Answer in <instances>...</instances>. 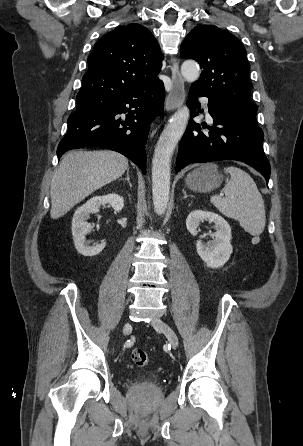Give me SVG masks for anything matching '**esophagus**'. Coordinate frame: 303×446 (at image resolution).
I'll return each mask as SVG.
<instances>
[{
    "instance_id": "esophagus-1",
    "label": "esophagus",
    "mask_w": 303,
    "mask_h": 446,
    "mask_svg": "<svg viewBox=\"0 0 303 446\" xmlns=\"http://www.w3.org/2000/svg\"><path fill=\"white\" fill-rule=\"evenodd\" d=\"M171 61L172 87L165 103V110L167 112L178 109L185 99L184 79L179 71L178 61L176 57H172Z\"/></svg>"
}]
</instances>
